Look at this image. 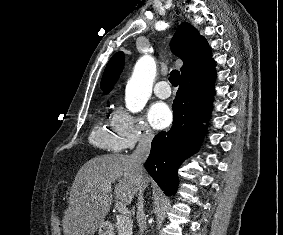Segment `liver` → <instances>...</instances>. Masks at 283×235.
<instances>
[{
    "label": "liver",
    "mask_w": 283,
    "mask_h": 235,
    "mask_svg": "<svg viewBox=\"0 0 283 235\" xmlns=\"http://www.w3.org/2000/svg\"><path fill=\"white\" fill-rule=\"evenodd\" d=\"M115 198L129 205L138 188L144 189L149 178L138 175L129 155L106 154L87 161L71 186L69 206L62 219L64 235H94L104 222L111 205V187Z\"/></svg>",
    "instance_id": "obj_1"
}]
</instances>
